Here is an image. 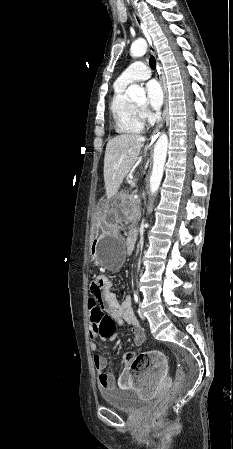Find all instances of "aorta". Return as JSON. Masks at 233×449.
I'll return each instance as SVG.
<instances>
[{
  "label": "aorta",
  "instance_id": "aorta-1",
  "mask_svg": "<svg viewBox=\"0 0 233 449\" xmlns=\"http://www.w3.org/2000/svg\"><path fill=\"white\" fill-rule=\"evenodd\" d=\"M147 51V43L144 39H138L131 45V56L140 57L143 56ZM127 93L131 99H137L138 97H145V91L142 87L134 84L130 85L127 89ZM168 148V136L162 133L154 147L153 155V169L150 176V191L151 194H156L164 171V164L167 156Z\"/></svg>",
  "mask_w": 233,
  "mask_h": 449
}]
</instances>
